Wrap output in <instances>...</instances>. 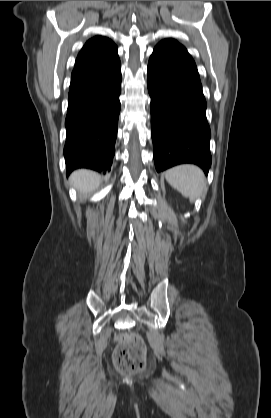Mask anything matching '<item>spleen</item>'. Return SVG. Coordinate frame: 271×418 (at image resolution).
Listing matches in <instances>:
<instances>
[{"mask_svg": "<svg viewBox=\"0 0 271 418\" xmlns=\"http://www.w3.org/2000/svg\"><path fill=\"white\" fill-rule=\"evenodd\" d=\"M168 183L191 201L200 198L205 189L203 171L193 164H182L165 172Z\"/></svg>", "mask_w": 271, "mask_h": 418, "instance_id": "obj_1", "label": "spleen"}]
</instances>
